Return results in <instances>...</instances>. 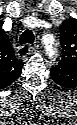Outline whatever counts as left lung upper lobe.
Masks as SVG:
<instances>
[{"instance_id": "1", "label": "left lung upper lobe", "mask_w": 77, "mask_h": 125, "mask_svg": "<svg viewBox=\"0 0 77 125\" xmlns=\"http://www.w3.org/2000/svg\"><path fill=\"white\" fill-rule=\"evenodd\" d=\"M60 40L62 47V59L59 65H65L69 67H77V20L67 19L60 27ZM66 75H68L66 77ZM72 74L66 73L63 75V79L55 81L57 84L63 87L72 86L71 82Z\"/></svg>"}]
</instances>
